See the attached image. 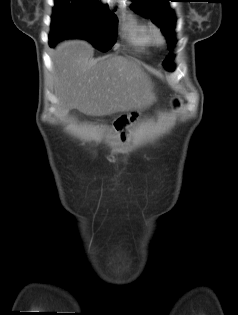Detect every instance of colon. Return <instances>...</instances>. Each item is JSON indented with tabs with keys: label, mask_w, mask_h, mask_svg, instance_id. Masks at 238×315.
<instances>
[{
	"label": "colon",
	"mask_w": 238,
	"mask_h": 315,
	"mask_svg": "<svg viewBox=\"0 0 238 315\" xmlns=\"http://www.w3.org/2000/svg\"><path fill=\"white\" fill-rule=\"evenodd\" d=\"M137 114L132 113L118 117L112 124L111 129L116 132L121 139H125L128 127L135 122Z\"/></svg>",
	"instance_id": "obj_1"
}]
</instances>
